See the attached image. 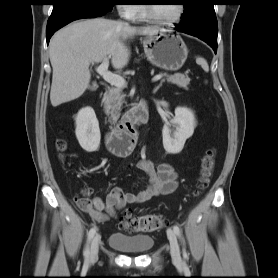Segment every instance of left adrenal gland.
Returning a JSON list of instances; mask_svg holds the SVG:
<instances>
[{"label":"left adrenal gland","mask_w":278,"mask_h":278,"mask_svg":"<svg viewBox=\"0 0 278 278\" xmlns=\"http://www.w3.org/2000/svg\"><path fill=\"white\" fill-rule=\"evenodd\" d=\"M160 87H161V84H159L157 87H155V89L153 90V93H156Z\"/></svg>","instance_id":"1"}]
</instances>
